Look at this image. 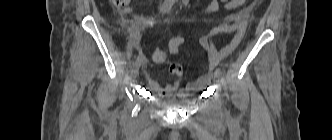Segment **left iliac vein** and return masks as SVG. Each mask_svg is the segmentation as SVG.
<instances>
[{"instance_id":"4c4485c4","label":"left iliac vein","mask_w":332,"mask_h":140,"mask_svg":"<svg viewBox=\"0 0 332 140\" xmlns=\"http://www.w3.org/2000/svg\"><path fill=\"white\" fill-rule=\"evenodd\" d=\"M214 79L217 83H220L221 75L215 72Z\"/></svg>"}]
</instances>
